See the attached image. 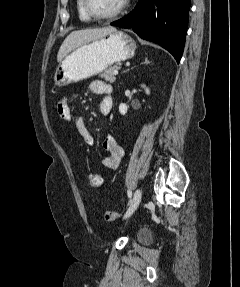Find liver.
Instances as JSON below:
<instances>
[{"mask_svg": "<svg viewBox=\"0 0 240 287\" xmlns=\"http://www.w3.org/2000/svg\"><path fill=\"white\" fill-rule=\"evenodd\" d=\"M116 31L115 27H101V28H89L83 30H76L71 32L63 41L57 55V61L61 62L65 56L73 49L79 47L84 43H88L93 40L100 39L105 35Z\"/></svg>", "mask_w": 240, "mask_h": 287, "instance_id": "1", "label": "liver"}]
</instances>
